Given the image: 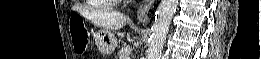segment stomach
I'll list each match as a JSON object with an SVG mask.
<instances>
[{"mask_svg":"<svg viewBox=\"0 0 261 59\" xmlns=\"http://www.w3.org/2000/svg\"><path fill=\"white\" fill-rule=\"evenodd\" d=\"M98 50L104 55H111L117 47V38L111 31L100 30L95 36Z\"/></svg>","mask_w":261,"mask_h":59,"instance_id":"1","label":"stomach"}]
</instances>
